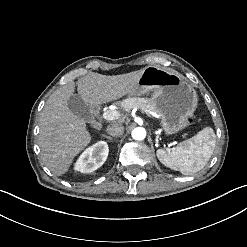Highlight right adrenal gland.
<instances>
[{
    "mask_svg": "<svg viewBox=\"0 0 247 247\" xmlns=\"http://www.w3.org/2000/svg\"><path fill=\"white\" fill-rule=\"evenodd\" d=\"M102 136L105 137V138H107V139L110 140V141H112V139H113L111 136H107V135H105V134H102Z\"/></svg>",
    "mask_w": 247,
    "mask_h": 247,
    "instance_id": "obj_1",
    "label": "right adrenal gland"
}]
</instances>
